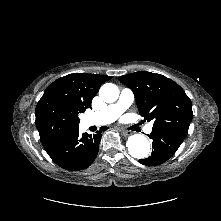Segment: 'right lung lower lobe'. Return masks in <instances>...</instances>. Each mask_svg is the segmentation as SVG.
<instances>
[{"instance_id": "1", "label": "right lung lower lobe", "mask_w": 221, "mask_h": 221, "mask_svg": "<svg viewBox=\"0 0 221 221\" xmlns=\"http://www.w3.org/2000/svg\"><path fill=\"white\" fill-rule=\"evenodd\" d=\"M102 127L95 134H79V129L64 133L42 143L51 159L63 169L79 171L95 160L101 140Z\"/></svg>"}]
</instances>
